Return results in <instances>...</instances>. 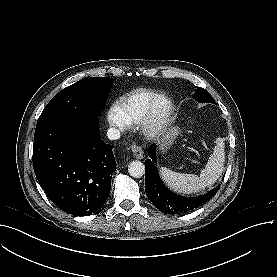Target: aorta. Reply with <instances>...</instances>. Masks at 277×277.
Masks as SVG:
<instances>
[{
	"mask_svg": "<svg viewBox=\"0 0 277 277\" xmlns=\"http://www.w3.org/2000/svg\"><path fill=\"white\" fill-rule=\"evenodd\" d=\"M128 172L134 178H141L145 174V166L141 161H132L128 166Z\"/></svg>",
	"mask_w": 277,
	"mask_h": 277,
	"instance_id": "aorta-1",
	"label": "aorta"
}]
</instances>
